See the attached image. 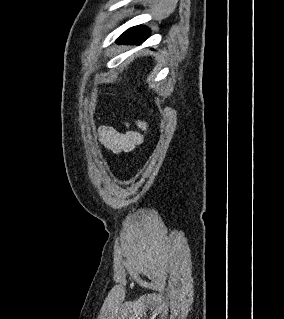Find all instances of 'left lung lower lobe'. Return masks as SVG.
Returning a JSON list of instances; mask_svg holds the SVG:
<instances>
[{"label": "left lung lower lobe", "mask_w": 284, "mask_h": 319, "mask_svg": "<svg viewBox=\"0 0 284 319\" xmlns=\"http://www.w3.org/2000/svg\"><path fill=\"white\" fill-rule=\"evenodd\" d=\"M150 34V30L144 26H135L126 30L117 40L118 44H141Z\"/></svg>", "instance_id": "obj_1"}]
</instances>
